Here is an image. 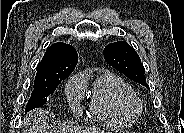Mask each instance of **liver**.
Wrapping results in <instances>:
<instances>
[{
  "label": "liver",
  "instance_id": "obj_1",
  "mask_svg": "<svg viewBox=\"0 0 184 133\" xmlns=\"http://www.w3.org/2000/svg\"><path fill=\"white\" fill-rule=\"evenodd\" d=\"M26 124L30 128L29 133H53L55 130L49 124V118L42 109H35L26 117ZM67 132V130H66ZM69 133H104L100 129L73 127Z\"/></svg>",
  "mask_w": 184,
  "mask_h": 133
}]
</instances>
